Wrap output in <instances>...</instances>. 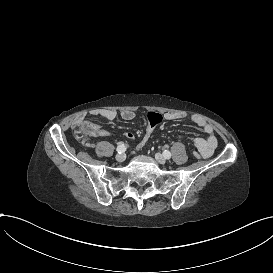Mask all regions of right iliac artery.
<instances>
[{
    "label": "right iliac artery",
    "mask_w": 273,
    "mask_h": 273,
    "mask_svg": "<svg viewBox=\"0 0 273 273\" xmlns=\"http://www.w3.org/2000/svg\"><path fill=\"white\" fill-rule=\"evenodd\" d=\"M116 150L118 153H124L126 151V146L123 143H120Z\"/></svg>",
    "instance_id": "right-iliac-artery-1"
}]
</instances>
